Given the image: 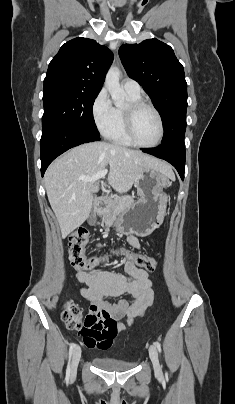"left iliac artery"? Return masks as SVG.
I'll return each mask as SVG.
<instances>
[{"mask_svg": "<svg viewBox=\"0 0 235 404\" xmlns=\"http://www.w3.org/2000/svg\"><path fill=\"white\" fill-rule=\"evenodd\" d=\"M155 346L157 347L158 351L161 353V345L158 341H155Z\"/></svg>", "mask_w": 235, "mask_h": 404, "instance_id": "left-iliac-artery-1", "label": "left iliac artery"}]
</instances>
